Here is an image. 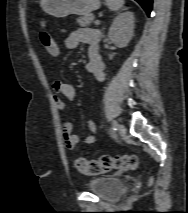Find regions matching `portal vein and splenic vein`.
<instances>
[{
  "label": "portal vein and splenic vein",
  "mask_w": 188,
  "mask_h": 213,
  "mask_svg": "<svg viewBox=\"0 0 188 213\" xmlns=\"http://www.w3.org/2000/svg\"><path fill=\"white\" fill-rule=\"evenodd\" d=\"M95 24H96V25H99V24H100V20H96V21H95Z\"/></svg>",
  "instance_id": "portal-vein-and-splenic-vein-1"
}]
</instances>
